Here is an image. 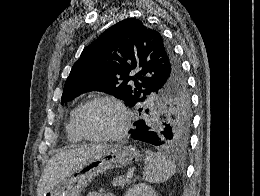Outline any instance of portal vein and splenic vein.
Listing matches in <instances>:
<instances>
[{"label":"portal vein and splenic vein","instance_id":"obj_1","mask_svg":"<svg viewBox=\"0 0 260 196\" xmlns=\"http://www.w3.org/2000/svg\"><path fill=\"white\" fill-rule=\"evenodd\" d=\"M127 178H128V180H129V178H133V172H128Z\"/></svg>","mask_w":260,"mask_h":196}]
</instances>
